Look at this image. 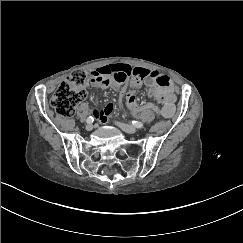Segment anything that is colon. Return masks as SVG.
<instances>
[{
    "label": "colon",
    "instance_id": "colon-1",
    "mask_svg": "<svg viewBox=\"0 0 243 243\" xmlns=\"http://www.w3.org/2000/svg\"><path fill=\"white\" fill-rule=\"evenodd\" d=\"M143 78L144 74L142 72L134 73L130 84L131 88L125 91L127 107L134 114L151 110L157 111L151 104L139 105L136 102L134 89L143 81ZM86 96V75L81 71H76L58 86L51 97L50 106L59 116L71 117L77 104L84 100Z\"/></svg>",
    "mask_w": 243,
    "mask_h": 243
}]
</instances>
